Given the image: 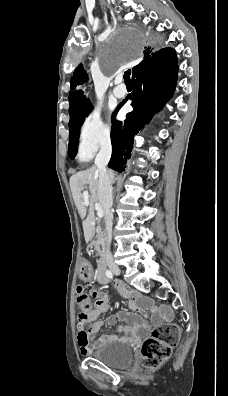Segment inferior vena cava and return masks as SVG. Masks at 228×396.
<instances>
[{"instance_id":"602c4592","label":"inferior vena cava","mask_w":228,"mask_h":396,"mask_svg":"<svg viewBox=\"0 0 228 396\" xmlns=\"http://www.w3.org/2000/svg\"><path fill=\"white\" fill-rule=\"evenodd\" d=\"M112 147L110 141L102 143L100 151L95 159V165L99 171L98 192L105 215L106 225V253L110 255V244L112 239V220L111 207L113 205V195L111 178L108 174L106 166L110 160Z\"/></svg>"}]
</instances>
